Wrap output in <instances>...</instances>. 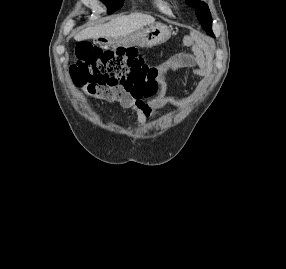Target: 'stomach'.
Returning <instances> with one entry per match:
<instances>
[{
    "mask_svg": "<svg viewBox=\"0 0 286 269\" xmlns=\"http://www.w3.org/2000/svg\"><path fill=\"white\" fill-rule=\"evenodd\" d=\"M171 36L167 25L154 23L147 25L127 36L111 38L108 45H137L140 47H153L166 42Z\"/></svg>",
    "mask_w": 286,
    "mask_h": 269,
    "instance_id": "obj_1",
    "label": "stomach"
}]
</instances>
